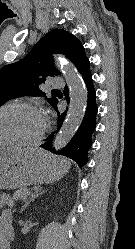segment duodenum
I'll return each mask as SVG.
<instances>
[{"mask_svg":"<svg viewBox=\"0 0 135 249\" xmlns=\"http://www.w3.org/2000/svg\"><path fill=\"white\" fill-rule=\"evenodd\" d=\"M7 245H8V244H5V247H4V249H7Z\"/></svg>","mask_w":135,"mask_h":249,"instance_id":"obj_1","label":"duodenum"}]
</instances>
